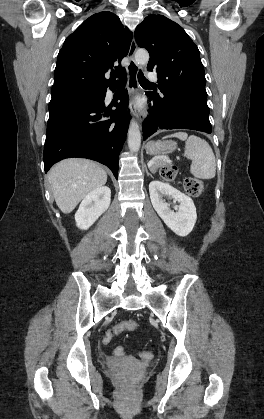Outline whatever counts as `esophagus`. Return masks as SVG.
Segmentation results:
<instances>
[{"label": "esophagus", "mask_w": 264, "mask_h": 419, "mask_svg": "<svg viewBox=\"0 0 264 419\" xmlns=\"http://www.w3.org/2000/svg\"><path fill=\"white\" fill-rule=\"evenodd\" d=\"M137 49V44L135 39H132V42L130 44V49L128 52V58H129V63L127 66V72H128V89L130 94L133 96L135 94L136 91L139 90V86L137 83V74H138V65L135 62L134 59V54L135 51ZM131 106V104H130ZM132 109V106H131ZM133 114L136 116L137 120L139 121V123L142 122L143 120V115L140 111H137L135 108L132 109Z\"/></svg>", "instance_id": "34e87169"}]
</instances>
